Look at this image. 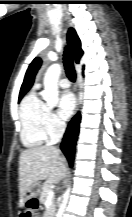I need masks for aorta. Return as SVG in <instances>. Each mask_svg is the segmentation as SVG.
I'll list each match as a JSON object with an SVG mask.
<instances>
[{"label": "aorta", "instance_id": "aorta-1", "mask_svg": "<svg viewBox=\"0 0 132 217\" xmlns=\"http://www.w3.org/2000/svg\"><path fill=\"white\" fill-rule=\"evenodd\" d=\"M61 74V65L58 63L52 64L46 71L44 76V91L42 97L50 107L58 103V81ZM67 204V198L60 205L57 217H62Z\"/></svg>", "mask_w": 132, "mask_h": 217}]
</instances>
